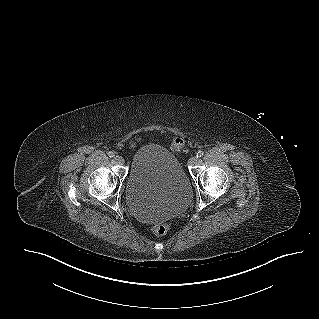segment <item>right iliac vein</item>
<instances>
[{
	"mask_svg": "<svg viewBox=\"0 0 319 319\" xmlns=\"http://www.w3.org/2000/svg\"><path fill=\"white\" fill-rule=\"evenodd\" d=\"M114 161L117 163V164H124V159H123V157L122 156H120V155H116V156H114Z\"/></svg>",
	"mask_w": 319,
	"mask_h": 319,
	"instance_id": "right-iliac-vein-1",
	"label": "right iliac vein"
}]
</instances>
